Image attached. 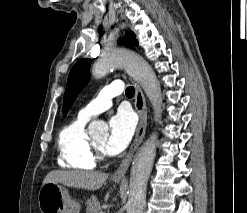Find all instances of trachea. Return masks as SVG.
Returning <instances> with one entry per match:
<instances>
[{"mask_svg": "<svg viewBox=\"0 0 247 213\" xmlns=\"http://www.w3.org/2000/svg\"><path fill=\"white\" fill-rule=\"evenodd\" d=\"M134 92H135L134 87L129 86V87L126 88V95L127 96H133Z\"/></svg>", "mask_w": 247, "mask_h": 213, "instance_id": "3493384b", "label": "trachea"}]
</instances>
